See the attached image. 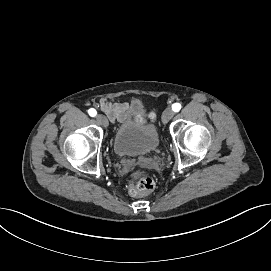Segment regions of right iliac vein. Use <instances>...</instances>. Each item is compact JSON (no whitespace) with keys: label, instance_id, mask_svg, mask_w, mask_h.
Instances as JSON below:
<instances>
[{"label":"right iliac vein","instance_id":"1","mask_svg":"<svg viewBox=\"0 0 271 271\" xmlns=\"http://www.w3.org/2000/svg\"><path fill=\"white\" fill-rule=\"evenodd\" d=\"M96 121H97L100 125H102L103 127H107V126H108V120H107V118H106L104 115H102V114H98V115L96 116Z\"/></svg>","mask_w":271,"mask_h":271}]
</instances>
